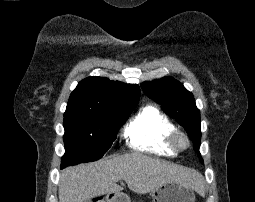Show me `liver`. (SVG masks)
Instances as JSON below:
<instances>
[{"instance_id":"1","label":"liver","mask_w":255,"mask_h":202,"mask_svg":"<svg viewBox=\"0 0 255 202\" xmlns=\"http://www.w3.org/2000/svg\"><path fill=\"white\" fill-rule=\"evenodd\" d=\"M123 179L135 193L146 194L165 183L178 182L202 189L201 175L190 168L131 153L65 169L58 189L59 202H84L122 190Z\"/></svg>"}]
</instances>
